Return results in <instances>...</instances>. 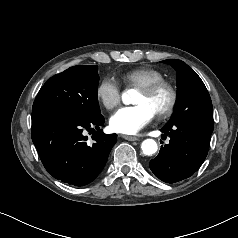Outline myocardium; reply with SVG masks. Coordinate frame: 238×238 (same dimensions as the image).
Segmentation results:
<instances>
[{
    "instance_id": "1",
    "label": "myocardium",
    "mask_w": 238,
    "mask_h": 238,
    "mask_svg": "<svg viewBox=\"0 0 238 238\" xmlns=\"http://www.w3.org/2000/svg\"><path fill=\"white\" fill-rule=\"evenodd\" d=\"M161 90H164L168 93L169 100L167 105L163 109L157 111L156 114L160 118H166L174 112L177 105L178 95L174 86L170 82L162 79L140 87V91L149 96H152Z\"/></svg>"
}]
</instances>
